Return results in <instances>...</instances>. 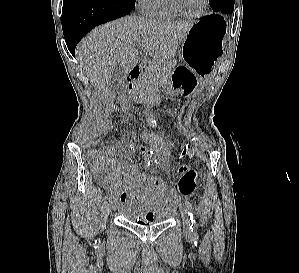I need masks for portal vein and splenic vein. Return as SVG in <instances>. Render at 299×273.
Instances as JSON below:
<instances>
[{
    "label": "portal vein and splenic vein",
    "instance_id": "1",
    "mask_svg": "<svg viewBox=\"0 0 299 273\" xmlns=\"http://www.w3.org/2000/svg\"><path fill=\"white\" fill-rule=\"evenodd\" d=\"M137 47L141 48L142 46L139 43H137Z\"/></svg>",
    "mask_w": 299,
    "mask_h": 273
}]
</instances>
